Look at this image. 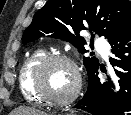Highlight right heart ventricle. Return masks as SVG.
Here are the masks:
<instances>
[{"label":"right heart ventricle","mask_w":131,"mask_h":115,"mask_svg":"<svg viewBox=\"0 0 131 115\" xmlns=\"http://www.w3.org/2000/svg\"><path fill=\"white\" fill-rule=\"evenodd\" d=\"M46 56L42 49H37L22 62L18 72V86L25 101L33 105H41L43 101L32 88V76L36 65Z\"/></svg>","instance_id":"obj_1"}]
</instances>
